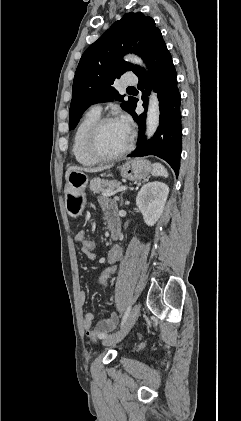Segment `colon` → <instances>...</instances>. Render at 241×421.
Wrapping results in <instances>:
<instances>
[{"mask_svg":"<svg viewBox=\"0 0 241 421\" xmlns=\"http://www.w3.org/2000/svg\"><path fill=\"white\" fill-rule=\"evenodd\" d=\"M96 240L93 238L85 239L81 244V249L83 252H93L96 248ZM117 271L116 264H111L106 267L100 274L99 281L104 287H109L113 281L114 275Z\"/></svg>","mask_w":241,"mask_h":421,"instance_id":"colon-1","label":"colon"}]
</instances>
